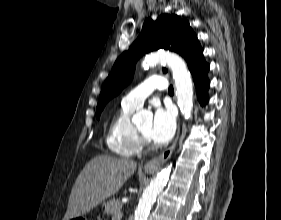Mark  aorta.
Masks as SVG:
<instances>
[{"mask_svg":"<svg viewBox=\"0 0 281 220\" xmlns=\"http://www.w3.org/2000/svg\"><path fill=\"white\" fill-rule=\"evenodd\" d=\"M157 63H164L171 69L175 81L178 106L185 118L188 119L191 116L193 108V86L186 63L174 53L158 52L147 56L142 62V68L146 70ZM147 115L148 112L140 111L133 116L132 121L138 123ZM170 171L171 165L161 170L151 181L138 203L134 220H147L152 205L169 179Z\"/></svg>","mask_w":281,"mask_h":220,"instance_id":"762f6f07","label":"aorta"}]
</instances>
